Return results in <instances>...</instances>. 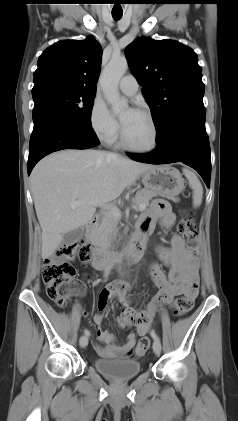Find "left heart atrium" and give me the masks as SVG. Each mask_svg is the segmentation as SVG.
Instances as JSON below:
<instances>
[{"label": "left heart atrium", "mask_w": 238, "mask_h": 421, "mask_svg": "<svg viewBox=\"0 0 238 421\" xmlns=\"http://www.w3.org/2000/svg\"><path fill=\"white\" fill-rule=\"evenodd\" d=\"M130 112H134V110H130Z\"/></svg>", "instance_id": "39dd6f15"}]
</instances>
